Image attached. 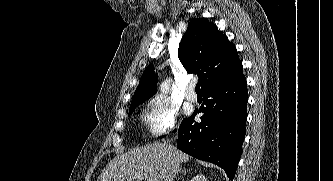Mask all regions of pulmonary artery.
I'll use <instances>...</instances> for the list:
<instances>
[{
	"label": "pulmonary artery",
	"mask_w": 333,
	"mask_h": 181,
	"mask_svg": "<svg viewBox=\"0 0 333 181\" xmlns=\"http://www.w3.org/2000/svg\"><path fill=\"white\" fill-rule=\"evenodd\" d=\"M185 97L190 102H195L197 100V95L193 91V85H189L188 90H187V92L185 94Z\"/></svg>",
	"instance_id": "1"
}]
</instances>
